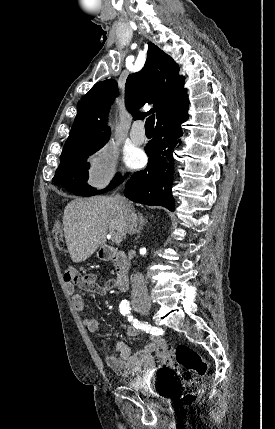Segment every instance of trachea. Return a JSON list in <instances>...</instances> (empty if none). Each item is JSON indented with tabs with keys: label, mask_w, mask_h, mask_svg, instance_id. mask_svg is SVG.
I'll list each match as a JSON object with an SVG mask.
<instances>
[{
	"label": "trachea",
	"mask_w": 275,
	"mask_h": 429,
	"mask_svg": "<svg viewBox=\"0 0 275 429\" xmlns=\"http://www.w3.org/2000/svg\"><path fill=\"white\" fill-rule=\"evenodd\" d=\"M155 123V115H151L146 119L145 130L146 132H153Z\"/></svg>",
	"instance_id": "obj_1"
}]
</instances>
